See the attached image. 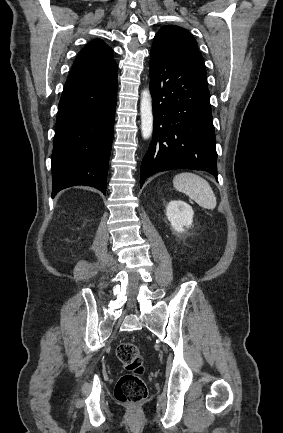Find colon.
Masks as SVG:
<instances>
[{"instance_id":"5ec220e1","label":"colon","mask_w":283,"mask_h":433,"mask_svg":"<svg viewBox=\"0 0 283 433\" xmlns=\"http://www.w3.org/2000/svg\"><path fill=\"white\" fill-rule=\"evenodd\" d=\"M116 357L126 373L118 380L115 398L122 403L137 404L147 396V388L142 378L143 358L138 347L131 342H122L116 349Z\"/></svg>"}]
</instances>
